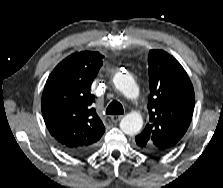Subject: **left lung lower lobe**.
Returning <instances> with one entry per match:
<instances>
[{
  "label": "left lung lower lobe",
  "mask_w": 223,
  "mask_h": 188,
  "mask_svg": "<svg viewBox=\"0 0 223 188\" xmlns=\"http://www.w3.org/2000/svg\"><path fill=\"white\" fill-rule=\"evenodd\" d=\"M139 143H140V142H139ZM138 148L141 149V150H143V149H142L141 147H139V146H138ZM146 153L151 154V155H159V154H157V153H154V154H153V153H149V152H146Z\"/></svg>",
  "instance_id": "0a47b994"
}]
</instances>
